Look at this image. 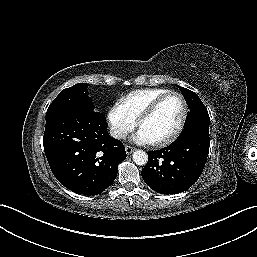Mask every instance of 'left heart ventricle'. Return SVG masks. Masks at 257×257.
Returning <instances> with one entry per match:
<instances>
[{"instance_id": "left-heart-ventricle-1", "label": "left heart ventricle", "mask_w": 257, "mask_h": 257, "mask_svg": "<svg viewBox=\"0 0 257 257\" xmlns=\"http://www.w3.org/2000/svg\"><path fill=\"white\" fill-rule=\"evenodd\" d=\"M183 112L180 98L176 95L167 98L148 119L144 120L140 128L152 142L170 136L177 128Z\"/></svg>"}]
</instances>
